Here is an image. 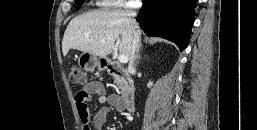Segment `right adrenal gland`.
I'll return each mask as SVG.
<instances>
[{"label": "right adrenal gland", "instance_id": "2a0ac1e0", "mask_svg": "<svg viewBox=\"0 0 257 130\" xmlns=\"http://www.w3.org/2000/svg\"><path fill=\"white\" fill-rule=\"evenodd\" d=\"M139 50H140V47H139L138 50H137V56H136V58H135V65H137V64H138V61L141 59Z\"/></svg>", "mask_w": 257, "mask_h": 130}]
</instances>
